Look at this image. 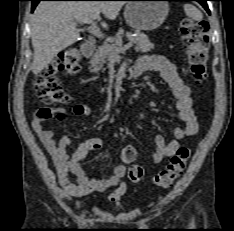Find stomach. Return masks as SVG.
Returning a JSON list of instances; mask_svg holds the SVG:
<instances>
[{
	"label": "stomach",
	"mask_w": 234,
	"mask_h": 231,
	"mask_svg": "<svg viewBox=\"0 0 234 231\" xmlns=\"http://www.w3.org/2000/svg\"><path fill=\"white\" fill-rule=\"evenodd\" d=\"M169 11L165 0H133L126 4L124 17L138 31H151L165 21Z\"/></svg>",
	"instance_id": "1"
}]
</instances>
